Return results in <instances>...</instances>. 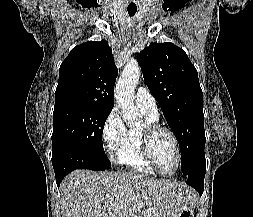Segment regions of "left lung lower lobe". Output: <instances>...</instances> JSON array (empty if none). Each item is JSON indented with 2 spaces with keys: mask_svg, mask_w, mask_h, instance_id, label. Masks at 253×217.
<instances>
[{
  "mask_svg": "<svg viewBox=\"0 0 253 217\" xmlns=\"http://www.w3.org/2000/svg\"><path fill=\"white\" fill-rule=\"evenodd\" d=\"M206 172V163L203 164V166L194 172H190L185 176L186 182L195 188L200 195L203 193L204 188V176Z\"/></svg>",
  "mask_w": 253,
  "mask_h": 217,
  "instance_id": "obj_1",
  "label": "left lung lower lobe"
}]
</instances>
